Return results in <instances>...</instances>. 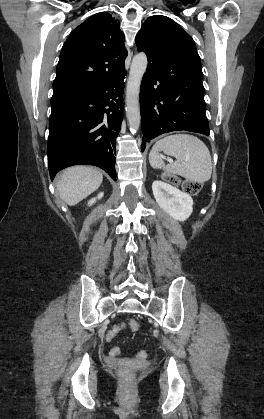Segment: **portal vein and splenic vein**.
Here are the masks:
<instances>
[{"label":"portal vein and splenic vein","instance_id":"18ae733b","mask_svg":"<svg viewBox=\"0 0 264 419\" xmlns=\"http://www.w3.org/2000/svg\"><path fill=\"white\" fill-rule=\"evenodd\" d=\"M169 162H172V159H169Z\"/></svg>","mask_w":264,"mask_h":419}]
</instances>
